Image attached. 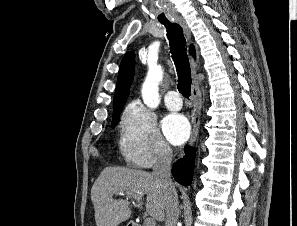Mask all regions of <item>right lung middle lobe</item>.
I'll return each instance as SVG.
<instances>
[{
	"mask_svg": "<svg viewBox=\"0 0 297 226\" xmlns=\"http://www.w3.org/2000/svg\"><path fill=\"white\" fill-rule=\"evenodd\" d=\"M122 109H123V106H120L118 108H114V111H113V125H115L116 118L120 116Z\"/></svg>",
	"mask_w": 297,
	"mask_h": 226,
	"instance_id": "dd1d6c3e",
	"label": "right lung middle lobe"
}]
</instances>
